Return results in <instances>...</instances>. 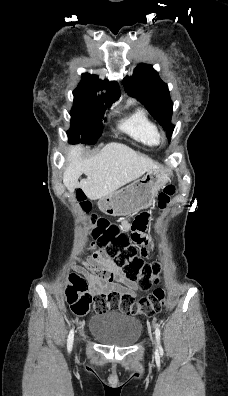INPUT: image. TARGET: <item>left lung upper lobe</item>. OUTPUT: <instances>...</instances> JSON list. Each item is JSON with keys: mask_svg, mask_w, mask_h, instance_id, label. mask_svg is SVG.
Instances as JSON below:
<instances>
[{"mask_svg": "<svg viewBox=\"0 0 228 396\" xmlns=\"http://www.w3.org/2000/svg\"><path fill=\"white\" fill-rule=\"evenodd\" d=\"M129 95L136 97L150 114L164 127L170 139L174 126L171 124L173 103L168 86L151 65L139 64L132 76L123 79Z\"/></svg>", "mask_w": 228, "mask_h": 396, "instance_id": "obj_1", "label": "left lung upper lobe"}]
</instances>
